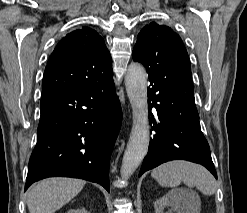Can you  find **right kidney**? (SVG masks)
Listing matches in <instances>:
<instances>
[{
  "label": "right kidney",
  "instance_id": "obj_1",
  "mask_svg": "<svg viewBox=\"0 0 247 213\" xmlns=\"http://www.w3.org/2000/svg\"><path fill=\"white\" fill-rule=\"evenodd\" d=\"M67 213H89L85 208L70 209Z\"/></svg>",
  "mask_w": 247,
  "mask_h": 213
}]
</instances>
